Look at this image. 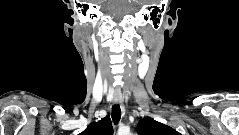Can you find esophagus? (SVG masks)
I'll use <instances>...</instances> for the list:
<instances>
[{"label":"esophagus","mask_w":239,"mask_h":135,"mask_svg":"<svg viewBox=\"0 0 239 135\" xmlns=\"http://www.w3.org/2000/svg\"><path fill=\"white\" fill-rule=\"evenodd\" d=\"M114 102L116 104L120 105L122 113L124 115L125 114V107H124L123 98H122L121 94H115L114 95Z\"/></svg>","instance_id":"1"}]
</instances>
